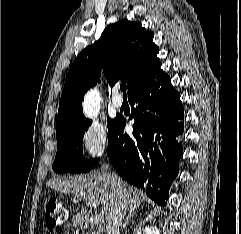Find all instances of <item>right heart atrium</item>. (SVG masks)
<instances>
[{
  "instance_id": "1",
  "label": "right heart atrium",
  "mask_w": 241,
  "mask_h": 234,
  "mask_svg": "<svg viewBox=\"0 0 241 234\" xmlns=\"http://www.w3.org/2000/svg\"><path fill=\"white\" fill-rule=\"evenodd\" d=\"M80 139L89 160L101 159L109 146L108 133L99 123L86 125L80 133Z\"/></svg>"
}]
</instances>
